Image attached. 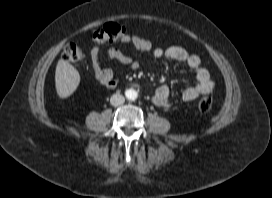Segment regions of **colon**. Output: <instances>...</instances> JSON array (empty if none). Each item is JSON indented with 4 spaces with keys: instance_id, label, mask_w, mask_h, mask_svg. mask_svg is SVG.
I'll return each instance as SVG.
<instances>
[{
    "instance_id": "colon-1",
    "label": "colon",
    "mask_w": 272,
    "mask_h": 198,
    "mask_svg": "<svg viewBox=\"0 0 272 198\" xmlns=\"http://www.w3.org/2000/svg\"><path fill=\"white\" fill-rule=\"evenodd\" d=\"M127 34V28L117 22H110L94 31L92 38L96 43H104L121 39ZM63 58L72 63H79L84 59V53L80 46L69 43L64 47ZM212 97L205 95L199 101L198 107L202 112H208L212 107Z\"/></svg>"
}]
</instances>
